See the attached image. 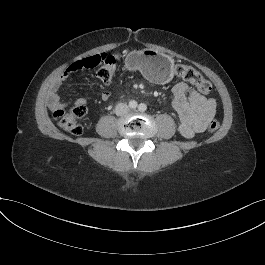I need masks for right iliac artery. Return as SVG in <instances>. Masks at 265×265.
Masks as SVG:
<instances>
[{"instance_id": "1", "label": "right iliac artery", "mask_w": 265, "mask_h": 265, "mask_svg": "<svg viewBox=\"0 0 265 265\" xmlns=\"http://www.w3.org/2000/svg\"><path fill=\"white\" fill-rule=\"evenodd\" d=\"M138 106L137 102L132 100L129 102V107L135 109Z\"/></svg>"}]
</instances>
